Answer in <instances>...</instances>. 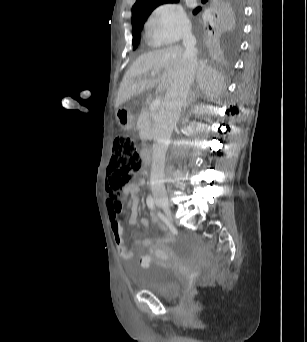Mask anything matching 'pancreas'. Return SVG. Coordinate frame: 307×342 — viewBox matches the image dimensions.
<instances>
[{"label": "pancreas", "instance_id": "1", "mask_svg": "<svg viewBox=\"0 0 307 342\" xmlns=\"http://www.w3.org/2000/svg\"><path fill=\"white\" fill-rule=\"evenodd\" d=\"M155 118L156 114H152V112H141L136 128L140 130L141 134H153L152 122H154Z\"/></svg>", "mask_w": 307, "mask_h": 342}]
</instances>
